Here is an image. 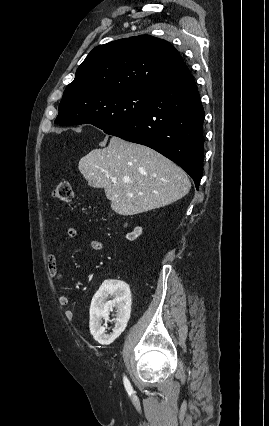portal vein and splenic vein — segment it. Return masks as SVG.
<instances>
[{
	"label": "portal vein and splenic vein",
	"mask_w": 269,
	"mask_h": 426,
	"mask_svg": "<svg viewBox=\"0 0 269 426\" xmlns=\"http://www.w3.org/2000/svg\"><path fill=\"white\" fill-rule=\"evenodd\" d=\"M116 180H117L116 178H112V179H111V181H112L113 183H115V182H116ZM128 195H129V196H132L130 193H128Z\"/></svg>",
	"instance_id": "18ae733b"
}]
</instances>
